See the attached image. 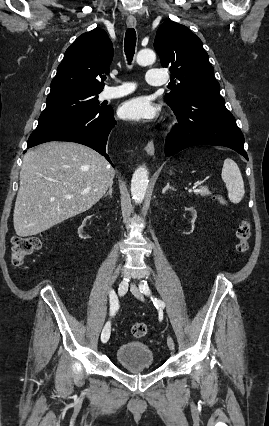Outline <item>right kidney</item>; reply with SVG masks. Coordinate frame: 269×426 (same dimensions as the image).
<instances>
[{
  "instance_id": "right-kidney-1",
  "label": "right kidney",
  "mask_w": 269,
  "mask_h": 426,
  "mask_svg": "<svg viewBox=\"0 0 269 426\" xmlns=\"http://www.w3.org/2000/svg\"><path fill=\"white\" fill-rule=\"evenodd\" d=\"M91 215L94 217L96 214L93 212ZM86 221L87 222L91 221V216H86L85 220L82 223V225L78 228V234H79V237L81 239H86L87 238L86 236L82 235L83 227L85 226Z\"/></svg>"
}]
</instances>
